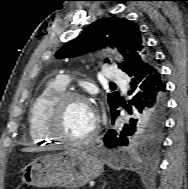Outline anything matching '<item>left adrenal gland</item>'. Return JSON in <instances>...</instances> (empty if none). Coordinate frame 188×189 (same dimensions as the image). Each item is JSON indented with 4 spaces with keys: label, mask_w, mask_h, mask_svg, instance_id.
<instances>
[{
    "label": "left adrenal gland",
    "mask_w": 188,
    "mask_h": 189,
    "mask_svg": "<svg viewBox=\"0 0 188 189\" xmlns=\"http://www.w3.org/2000/svg\"><path fill=\"white\" fill-rule=\"evenodd\" d=\"M105 185H106V183H104V184H103V186H102V188H101V189H104Z\"/></svg>",
    "instance_id": "left-adrenal-gland-1"
}]
</instances>
